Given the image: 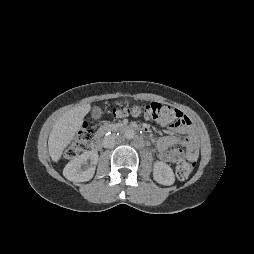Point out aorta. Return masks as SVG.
Returning <instances> with one entry per match:
<instances>
[{
    "label": "aorta",
    "mask_w": 254,
    "mask_h": 254,
    "mask_svg": "<svg viewBox=\"0 0 254 254\" xmlns=\"http://www.w3.org/2000/svg\"><path fill=\"white\" fill-rule=\"evenodd\" d=\"M135 136V132L133 130H126L124 133V137L126 139H132Z\"/></svg>",
    "instance_id": "762f6f07"
}]
</instances>
